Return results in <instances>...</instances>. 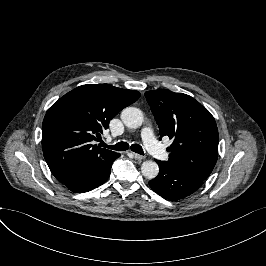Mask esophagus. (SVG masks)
<instances>
[{
  "label": "esophagus",
  "instance_id": "34e87169",
  "mask_svg": "<svg viewBox=\"0 0 266 266\" xmlns=\"http://www.w3.org/2000/svg\"><path fill=\"white\" fill-rule=\"evenodd\" d=\"M132 154H133V157H134L136 160H142V159H144V157H143L142 155H139L138 153H134V152H132Z\"/></svg>",
  "mask_w": 266,
  "mask_h": 266
}]
</instances>
